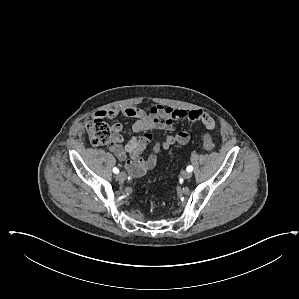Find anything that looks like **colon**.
Instances as JSON below:
<instances>
[{"instance_id": "5ec220e1", "label": "colon", "mask_w": 299, "mask_h": 299, "mask_svg": "<svg viewBox=\"0 0 299 299\" xmlns=\"http://www.w3.org/2000/svg\"><path fill=\"white\" fill-rule=\"evenodd\" d=\"M90 142L94 146H106L113 142V131L111 126L101 118L90 120L86 125ZM203 146L207 151L214 150V142L210 134L202 136Z\"/></svg>"}]
</instances>
